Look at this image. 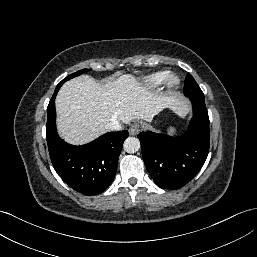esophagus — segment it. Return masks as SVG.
<instances>
[{"label":"esophagus","mask_w":257,"mask_h":257,"mask_svg":"<svg viewBox=\"0 0 257 257\" xmlns=\"http://www.w3.org/2000/svg\"><path fill=\"white\" fill-rule=\"evenodd\" d=\"M140 131V126L137 123H134L129 128L130 135H137Z\"/></svg>","instance_id":"1"}]
</instances>
